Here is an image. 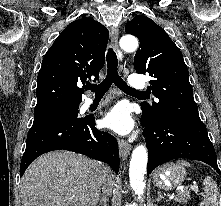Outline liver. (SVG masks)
<instances>
[{"label":"liver","mask_w":221,"mask_h":206,"mask_svg":"<svg viewBox=\"0 0 221 206\" xmlns=\"http://www.w3.org/2000/svg\"><path fill=\"white\" fill-rule=\"evenodd\" d=\"M106 166L68 151L44 154L24 173L22 206H96Z\"/></svg>","instance_id":"obj_1"}]
</instances>
